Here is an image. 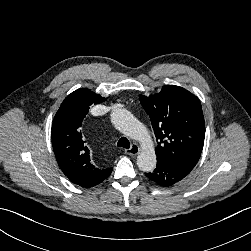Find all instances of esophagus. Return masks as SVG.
Masks as SVG:
<instances>
[{
    "instance_id": "obj_1",
    "label": "esophagus",
    "mask_w": 251,
    "mask_h": 251,
    "mask_svg": "<svg viewBox=\"0 0 251 251\" xmlns=\"http://www.w3.org/2000/svg\"><path fill=\"white\" fill-rule=\"evenodd\" d=\"M140 147L137 145V144H132V146L129 148V149H127L125 152H126V154H128V155H137V154H139L140 153Z\"/></svg>"
}]
</instances>
